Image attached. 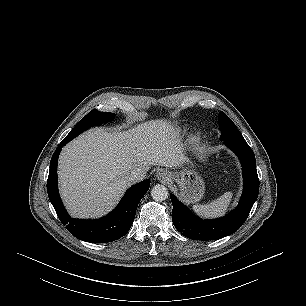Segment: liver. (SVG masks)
<instances>
[{
	"instance_id": "liver-1",
	"label": "liver",
	"mask_w": 306,
	"mask_h": 306,
	"mask_svg": "<svg viewBox=\"0 0 306 306\" xmlns=\"http://www.w3.org/2000/svg\"><path fill=\"white\" fill-rule=\"evenodd\" d=\"M187 161L179 133L167 121L151 120L123 132L92 129L63 148L60 193L73 217H100L131 186L133 169L177 168Z\"/></svg>"
}]
</instances>
